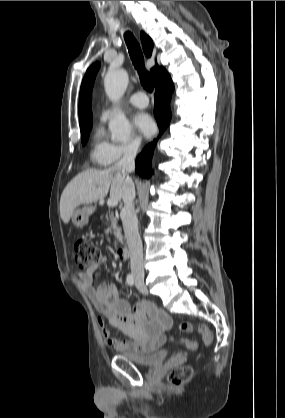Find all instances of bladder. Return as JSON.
Returning <instances> with one entry per match:
<instances>
[{
  "label": "bladder",
  "mask_w": 285,
  "mask_h": 418,
  "mask_svg": "<svg viewBox=\"0 0 285 418\" xmlns=\"http://www.w3.org/2000/svg\"><path fill=\"white\" fill-rule=\"evenodd\" d=\"M122 355L140 366H153L162 364L167 359V352L163 349H155L147 352H137L134 350H123Z\"/></svg>",
  "instance_id": "1"
}]
</instances>
